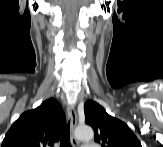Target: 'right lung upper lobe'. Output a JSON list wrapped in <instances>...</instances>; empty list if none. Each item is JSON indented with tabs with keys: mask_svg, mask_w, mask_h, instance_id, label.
<instances>
[{
	"mask_svg": "<svg viewBox=\"0 0 163 147\" xmlns=\"http://www.w3.org/2000/svg\"><path fill=\"white\" fill-rule=\"evenodd\" d=\"M65 114L55 99L24 112L11 126L2 147H47L60 138Z\"/></svg>",
	"mask_w": 163,
	"mask_h": 147,
	"instance_id": "1",
	"label": "right lung upper lobe"
}]
</instances>
